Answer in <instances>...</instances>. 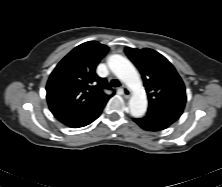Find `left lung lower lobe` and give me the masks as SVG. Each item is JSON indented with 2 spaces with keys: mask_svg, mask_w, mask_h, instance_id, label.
Listing matches in <instances>:
<instances>
[{
  "mask_svg": "<svg viewBox=\"0 0 222 187\" xmlns=\"http://www.w3.org/2000/svg\"><path fill=\"white\" fill-rule=\"evenodd\" d=\"M183 112L181 108L175 107H153L148 108L146 116L143 118H134L141 128L147 131H160L169 127L179 119Z\"/></svg>",
  "mask_w": 222,
  "mask_h": 187,
  "instance_id": "obj_1",
  "label": "left lung lower lobe"
}]
</instances>
